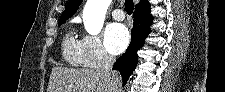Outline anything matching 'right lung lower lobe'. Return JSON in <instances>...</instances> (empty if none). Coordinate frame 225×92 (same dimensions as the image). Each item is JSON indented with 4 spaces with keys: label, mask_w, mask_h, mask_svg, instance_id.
I'll return each mask as SVG.
<instances>
[{
    "label": "right lung lower lobe",
    "mask_w": 225,
    "mask_h": 92,
    "mask_svg": "<svg viewBox=\"0 0 225 92\" xmlns=\"http://www.w3.org/2000/svg\"><path fill=\"white\" fill-rule=\"evenodd\" d=\"M133 16L134 24L131 32V43L126 52L118 58L113 66L114 70L120 72L123 79V85L126 84L129 76L136 68L138 62L137 51L144 45L145 38L150 33V25L153 21L150 12L140 13L135 11Z\"/></svg>",
    "instance_id": "right-lung-lower-lobe-1"
}]
</instances>
